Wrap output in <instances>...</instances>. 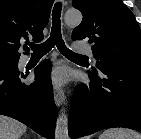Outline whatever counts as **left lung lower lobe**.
<instances>
[{
	"label": "left lung lower lobe",
	"mask_w": 141,
	"mask_h": 139,
	"mask_svg": "<svg viewBox=\"0 0 141 139\" xmlns=\"http://www.w3.org/2000/svg\"><path fill=\"white\" fill-rule=\"evenodd\" d=\"M90 84H80L69 114L71 138L111 127L141 132V69L105 65L89 73Z\"/></svg>",
	"instance_id": "obj_1"
}]
</instances>
